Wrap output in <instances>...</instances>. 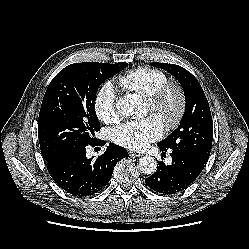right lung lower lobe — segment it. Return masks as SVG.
Listing matches in <instances>:
<instances>
[{"label": "right lung lower lobe", "mask_w": 249, "mask_h": 249, "mask_svg": "<svg viewBox=\"0 0 249 249\" xmlns=\"http://www.w3.org/2000/svg\"><path fill=\"white\" fill-rule=\"evenodd\" d=\"M96 140L92 147L104 145ZM127 150L112 143L104 154L92 160L86 157V147L68 152L47 162V169L54 181L66 192L75 196H91L109 182L115 165L128 157Z\"/></svg>", "instance_id": "obj_1"}]
</instances>
